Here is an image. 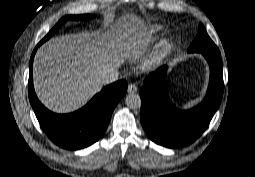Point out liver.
Here are the masks:
<instances>
[{
	"instance_id": "liver-1",
	"label": "liver",
	"mask_w": 255,
	"mask_h": 177,
	"mask_svg": "<svg viewBox=\"0 0 255 177\" xmlns=\"http://www.w3.org/2000/svg\"><path fill=\"white\" fill-rule=\"evenodd\" d=\"M136 22V17L124 19L112 31L60 36L41 46L34 60V83L40 100L57 112L85 105L101 90V74L119 67L128 55L122 41Z\"/></svg>"
}]
</instances>
